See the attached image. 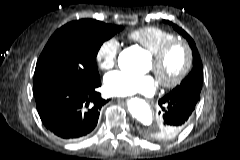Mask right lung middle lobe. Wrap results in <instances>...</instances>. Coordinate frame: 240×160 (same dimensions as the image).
<instances>
[{"instance_id":"right-lung-middle-lobe-1","label":"right lung middle lobe","mask_w":240,"mask_h":160,"mask_svg":"<svg viewBox=\"0 0 240 160\" xmlns=\"http://www.w3.org/2000/svg\"><path fill=\"white\" fill-rule=\"evenodd\" d=\"M122 29V26L81 19L56 30L37 61L34 89L52 81L73 87L93 85L100 79L95 60L98 50Z\"/></svg>"}]
</instances>
